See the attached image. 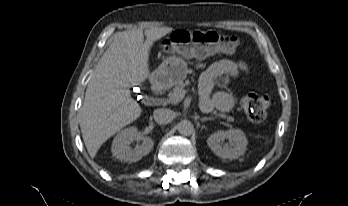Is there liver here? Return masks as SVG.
Wrapping results in <instances>:
<instances>
[{"mask_svg":"<svg viewBox=\"0 0 348 206\" xmlns=\"http://www.w3.org/2000/svg\"><path fill=\"white\" fill-rule=\"evenodd\" d=\"M172 30L164 26L144 33L119 32L100 58L88 83L79 120L91 158L104 142L140 117L142 108L131 98L130 88L150 78V48Z\"/></svg>","mask_w":348,"mask_h":206,"instance_id":"liver-1","label":"liver"}]
</instances>
